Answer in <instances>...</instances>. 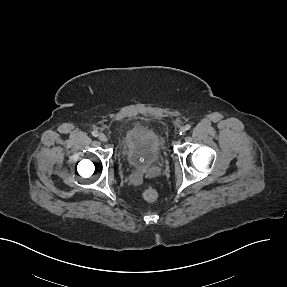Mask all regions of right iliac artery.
Masks as SVG:
<instances>
[{
    "instance_id": "obj_1",
    "label": "right iliac artery",
    "mask_w": 287,
    "mask_h": 287,
    "mask_svg": "<svg viewBox=\"0 0 287 287\" xmlns=\"http://www.w3.org/2000/svg\"><path fill=\"white\" fill-rule=\"evenodd\" d=\"M92 135H93L94 137H97V136H98V131H93V132H92Z\"/></svg>"
}]
</instances>
